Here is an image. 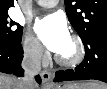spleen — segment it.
<instances>
[{"instance_id": "1", "label": "spleen", "mask_w": 107, "mask_h": 89, "mask_svg": "<svg viewBox=\"0 0 107 89\" xmlns=\"http://www.w3.org/2000/svg\"><path fill=\"white\" fill-rule=\"evenodd\" d=\"M107 88V86L105 85H101V87H100V89H106Z\"/></svg>"}]
</instances>
